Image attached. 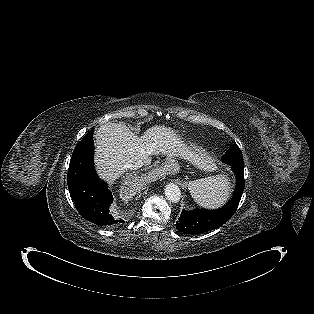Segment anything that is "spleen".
<instances>
[{"label": "spleen", "mask_w": 314, "mask_h": 314, "mask_svg": "<svg viewBox=\"0 0 314 314\" xmlns=\"http://www.w3.org/2000/svg\"><path fill=\"white\" fill-rule=\"evenodd\" d=\"M189 191L198 205L207 209H215L224 205L228 200L231 183L228 175L220 174L191 181Z\"/></svg>", "instance_id": "3e777b00"}]
</instances>
